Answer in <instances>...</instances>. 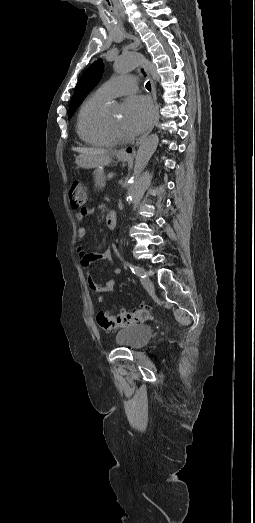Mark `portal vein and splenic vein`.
I'll list each match as a JSON object with an SVG mask.
<instances>
[{"instance_id":"18ae733b","label":"portal vein and splenic vein","mask_w":255,"mask_h":523,"mask_svg":"<svg viewBox=\"0 0 255 523\" xmlns=\"http://www.w3.org/2000/svg\"><path fill=\"white\" fill-rule=\"evenodd\" d=\"M115 177V171H112L110 173H107V181H112V179Z\"/></svg>"}]
</instances>
